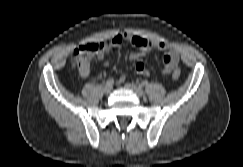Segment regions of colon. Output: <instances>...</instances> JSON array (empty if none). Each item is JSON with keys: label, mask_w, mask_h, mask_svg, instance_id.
Segmentation results:
<instances>
[{"label": "colon", "mask_w": 243, "mask_h": 167, "mask_svg": "<svg viewBox=\"0 0 243 167\" xmlns=\"http://www.w3.org/2000/svg\"><path fill=\"white\" fill-rule=\"evenodd\" d=\"M99 48L100 44L88 43L75 49L72 55L73 68L82 75L87 74L90 62ZM180 75L181 72L179 69L174 70L172 73L173 79H178Z\"/></svg>", "instance_id": "obj_1"}]
</instances>
